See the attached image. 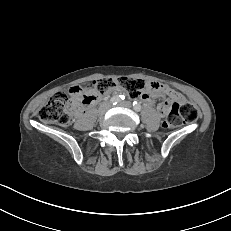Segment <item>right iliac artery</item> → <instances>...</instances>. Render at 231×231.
Masks as SVG:
<instances>
[{
    "label": "right iliac artery",
    "mask_w": 231,
    "mask_h": 231,
    "mask_svg": "<svg viewBox=\"0 0 231 231\" xmlns=\"http://www.w3.org/2000/svg\"><path fill=\"white\" fill-rule=\"evenodd\" d=\"M124 99H125L124 95H116L110 99V103L116 105L117 103L121 102Z\"/></svg>",
    "instance_id": "1"
}]
</instances>
